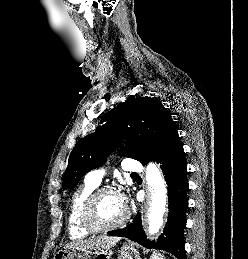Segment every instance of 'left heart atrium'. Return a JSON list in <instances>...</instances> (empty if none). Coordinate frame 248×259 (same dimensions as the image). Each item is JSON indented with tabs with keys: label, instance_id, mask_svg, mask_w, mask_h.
I'll return each mask as SVG.
<instances>
[{
	"label": "left heart atrium",
	"instance_id": "left-heart-atrium-1",
	"mask_svg": "<svg viewBox=\"0 0 248 259\" xmlns=\"http://www.w3.org/2000/svg\"><path fill=\"white\" fill-rule=\"evenodd\" d=\"M121 202L124 206H126V197L123 194H118Z\"/></svg>",
	"mask_w": 248,
	"mask_h": 259
}]
</instances>
